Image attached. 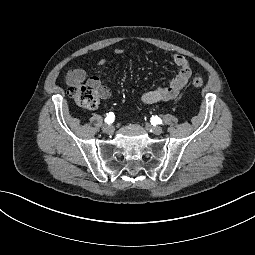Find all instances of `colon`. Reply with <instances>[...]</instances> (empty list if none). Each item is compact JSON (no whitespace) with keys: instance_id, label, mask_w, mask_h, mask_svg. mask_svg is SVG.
Masks as SVG:
<instances>
[{"instance_id":"5ec220e1","label":"colon","mask_w":255,"mask_h":255,"mask_svg":"<svg viewBox=\"0 0 255 255\" xmlns=\"http://www.w3.org/2000/svg\"><path fill=\"white\" fill-rule=\"evenodd\" d=\"M192 86L195 89H200L204 86V80L195 77L192 80ZM68 94L82 108L92 109L98 104L97 91L90 85L70 86Z\"/></svg>"}]
</instances>
